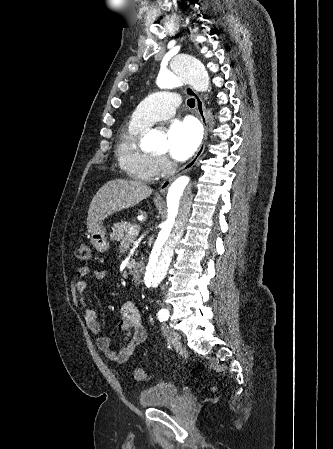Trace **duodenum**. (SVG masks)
I'll return each instance as SVG.
<instances>
[{"label":"duodenum","instance_id":"1","mask_svg":"<svg viewBox=\"0 0 333 449\" xmlns=\"http://www.w3.org/2000/svg\"><path fill=\"white\" fill-rule=\"evenodd\" d=\"M143 273V266L141 264H134L130 267V274L135 284H139L141 282Z\"/></svg>","mask_w":333,"mask_h":449}]
</instances>
